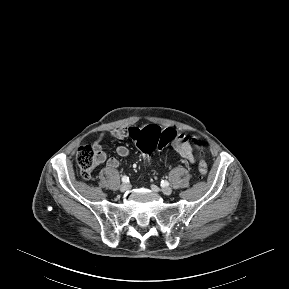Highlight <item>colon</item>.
<instances>
[{"label": "colon", "instance_id": "colon-1", "mask_svg": "<svg viewBox=\"0 0 289 289\" xmlns=\"http://www.w3.org/2000/svg\"><path fill=\"white\" fill-rule=\"evenodd\" d=\"M131 137L136 141L144 159L149 162L155 150H165L178 138L177 132L173 129H164L156 125H149L142 129L131 128ZM194 145H198L196 139H190ZM100 163V155L90 145L82 146L77 152V164L84 179H91L97 165ZM199 174L204 177L208 172L207 163L201 159L198 164Z\"/></svg>", "mask_w": 289, "mask_h": 289}]
</instances>
